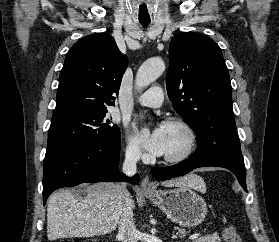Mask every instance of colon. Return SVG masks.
<instances>
[{
    "label": "colon",
    "mask_w": 279,
    "mask_h": 242,
    "mask_svg": "<svg viewBox=\"0 0 279 242\" xmlns=\"http://www.w3.org/2000/svg\"><path fill=\"white\" fill-rule=\"evenodd\" d=\"M222 237L224 239V242H242L240 235L232 226H227L223 229ZM60 242H68V241H60Z\"/></svg>",
    "instance_id": "1"
}]
</instances>
